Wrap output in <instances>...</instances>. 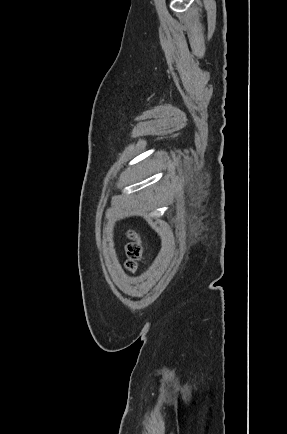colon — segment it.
Masks as SVG:
<instances>
[{"label":"colon","instance_id":"colon-1","mask_svg":"<svg viewBox=\"0 0 287 434\" xmlns=\"http://www.w3.org/2000/svg\"><path fill=\"white\" fill-rule=\"evenodd\" d=\"M130 241L126 245L128 260L126 266L130 271H135L138 266V261L142 255V245L134 233L129 235Z\"/></svg>","mask_w":287,"mask_h":434}]
</instances>
